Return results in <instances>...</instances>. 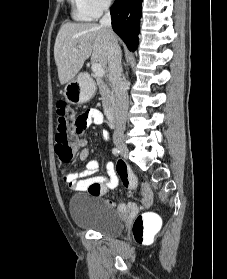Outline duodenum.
<instances>
[{"instance_id":"duodenum-1","label":"duodenum","mask_w":227,"mask_h":279,"mask_svg":"<svg viewBox=\"0 0 227 279\" xmlns=\"http://www.w3.org/2000/svg\"><path fill=\"white\" fill-rule=\"evenodd\" d=\"M106 116H107V119L111 122V123H115L116 122V117H115V114H114V111L112 108H109L107 111H106Z\"/></svg>"}]
</instances>
